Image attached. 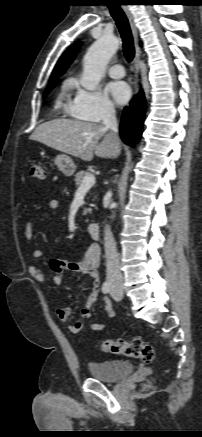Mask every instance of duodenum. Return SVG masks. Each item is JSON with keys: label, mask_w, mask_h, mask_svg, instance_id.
<instances>
[{"label": "duodenum", "mask_w": 202, "mask_h": 437, "mask_svg": "<svg viewBox=\"0 0 202 437\" xmlns=\"http://www.w3.org/2000/svg\"><path fill=\"white\" fill-rule=\"evenodd\" d=\"M87 232L92 239H97L100 233V227L98 223H90L87 227Z\"/></svg>", "instance_id": "duodenum-1"}]
</instances>
